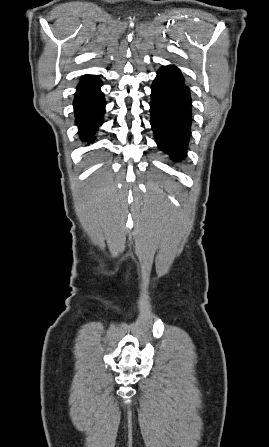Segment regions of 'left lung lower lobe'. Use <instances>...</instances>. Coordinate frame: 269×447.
Wrapping results in <instances>:
<instances>
[{"label": "left lung lower lobe", "instance_id": "1", "mask_svg": "<svg viewBox=\"0 0 269 447\" xmlns=\"http://www.w3.org/2000/svg\"><path fill=\"white\" fill-rule=\"evenodd\" d=\"M151 126L160 150L173 161L185 158L191 126V96L180 70L163 66L151 86Z\"/></svg>", "mask_w": 269, "mask_h": 447}]
</instances>
